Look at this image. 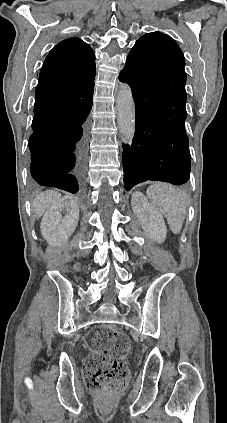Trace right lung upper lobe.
I'll use <instances>...</instances> for the list:
<instances>
[{
	"label": "right lung upper lobe",
	"mask_w": 227,
	"mask_h": 423,
	"mask_svg": "<svg viewBox=\"0 0 227 423\" xmlns=\"http://www.w3.org/2000/svg\"><path fill=\"white\" fill-rule=\"evenodd\" d=\"M95 54L81 39L73 37L58 43L42 66L35 98L61 101L93 94ZM33 132L39 129L32 127Z\"/></svg>",
	"instance_id": "1"
}]
</instances>
